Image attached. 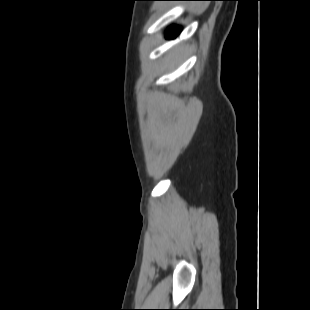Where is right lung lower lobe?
<instances>
[{"label": "right lung lower lobe", "mask_w": 310, "mask_h": 310, "mask_svg": "<svg viewBox=\"0 0 310 310\" xmlns=\"http://www.w3.org/2000/svg\"><path fill=\"white\" fill-rule=\"evenodd\" d=\"M181 31L180 27H171L169 32L167 33L166 37L167 38H174L176 37Z\"/></svg>", "instance_id": "right-lung-lower-lobe-1"}]
</instances>
